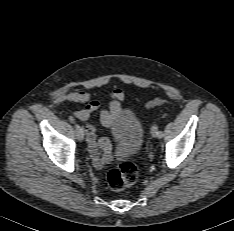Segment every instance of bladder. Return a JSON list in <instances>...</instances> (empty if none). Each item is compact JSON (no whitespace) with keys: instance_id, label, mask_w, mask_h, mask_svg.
Returning <instances> with one entry per match:
<instances>
[{"instance_id":"bladder-1","label":"bladder","mask_w":234,"mask_h":231,"mask_svg":"<svg viewBox=\"0 0 234 231\" xmlns=\"http://www.w3.org/2000/svg\"><path fill=\"white\" fill-rule=\"evenodd\" d=\"M117 135L125 138L123 157H132L142 148L143 128L133 112L127 109H120L114 125Z\"/></svg>"}]
</instances>
